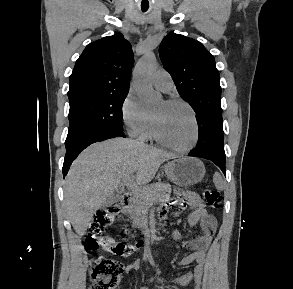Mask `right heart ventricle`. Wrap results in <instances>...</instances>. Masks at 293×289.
<instances>
[{
  "label": "right heart ventricle",
  "mask_w": 293,
  "mask_h": 289,
  "mask_svg": "<svg viewBox=\"0 0 293 289\" xmlns=\"http://www.w3.org/2000/svg\"><path fill=\"white\" fill-rule=\"evenodd\" d=\"M142 138H151L152 134H151V122L147 125V127L145 128V130L143 131V133L141 134Z\"/></svg>",
  "instance_id": "1"
}]
</instances>
